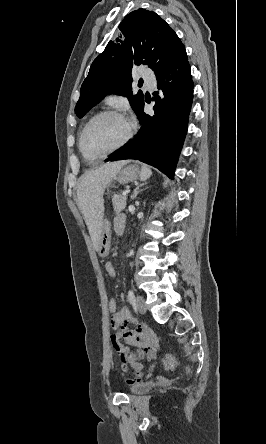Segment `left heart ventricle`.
<instances>
[{
    "label": "left heart ventricle",
    "mask_w": 266,
    "mask_h": 444,
    "mask_svg": "<svg viewBox=\"0 0 266 444\" xmlns=\"http://www.w3.org/2000/svg\"><path fill=\"white\" fill-rule=\"evenodd\" d=\"M127 132L126 122L114 115L103 116L88 128L84 145L90 153H102L115 147Z\"/></svg>",
    "instance_id": "1"
}]
</instances>
